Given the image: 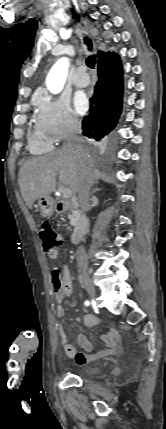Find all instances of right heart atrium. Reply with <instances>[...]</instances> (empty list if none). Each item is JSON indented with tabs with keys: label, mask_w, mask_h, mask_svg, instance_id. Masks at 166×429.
<instances>
[{
	"label": "right heart atrium",
	"mask_w": 166,
	"mask_h": 429,
	"mask_svg": "<svg viewBox=\"0 0 166 429\" xmlns=\"http://www.w3.org/2000/svg\"><path fill=\"white\" fill-rule=\"evenodd\" d=\"M36 126L52 141L60 142L77 133L81 122L67 98L44 95L38 99Z\"/></svg>",
	"instance_id": "right-heart-atrium-1"
}]
</instances>
